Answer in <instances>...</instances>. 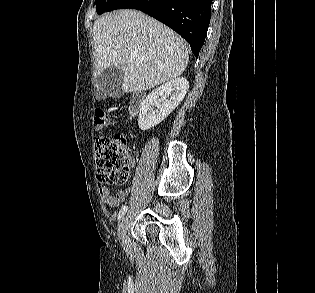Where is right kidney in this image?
Listing matches in <instances>:
<instances>
[{
  "instance_id": "1",
  "label": "right kidney",
  "mask_w": 315,
  "mask_h": 293,
  "mask_svg": "<svg viewBox=\"0 0 315 293\" xmlns=\"http://www.w3.org/2000/svg\"><path fill=\"white\" fill-rule=\"evenodd\" d=\"M188 89L187 79L179 77L152 91L142 103L138 117L139 128L143 131L149 130L162 122L181 103ZM158 101H162V104L153 110Z\"/></svg>"
}]
</instances>
